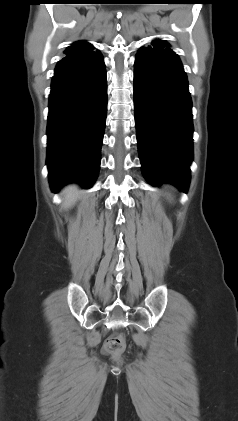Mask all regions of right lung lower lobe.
Returning <instances> with one entry per match:
<instances>
[{
  "mask_svg": "<svg viewBox=\"0 0 238 421\" xmlns=\"http://www.w3.org/2000/svg\"><path fill=\"white\" fill-rule=\"evenodd\" d=\"M107 112L100 53L65 56L52 79L47 166L53 192L70 182L90 187L97 178Z\"/></svg>",
  "mask_w": 238,
  "mask_h": 421,
  "instance_id": "1",
  "label": "right lung lower lobe"
}]
</instances>
